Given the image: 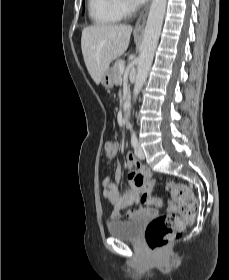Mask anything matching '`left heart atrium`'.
<instances>
[{"instance_id": "left-heart-atrium-1", "label": "left heart atrium", "mask_w": 229, "mask_h": 280, "mask_svg": "<svg viewBox=\"0 0 229 280\" xmlns=\"http://www.w3.org/2000/svg\"><path fill=\"white\" fill-rule=\"evenodd\" d=\"M146 0H132V2L136 5L141 4L143 2H145Z\"/></svg>"}]
</instances>
